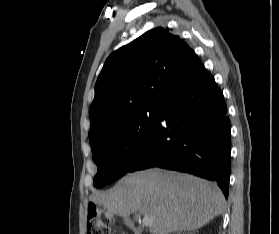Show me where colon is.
Segmentation results:
<instances>
[{
	"label": "colon",
	"instance_id": "1",
	"mask_svg": "<svg viewBox=\"0 0 279 234\" xmlns=\"http://www.w3.org/2000/svg\"><path fill=\"white\" fill-rule=\"evenodd\" d=\"M112 215L106 210L90 206L87 217V234H110Z\"/></svg>",
	"mask_w": 279,
	"mask_h": 234
}]
</instances>
